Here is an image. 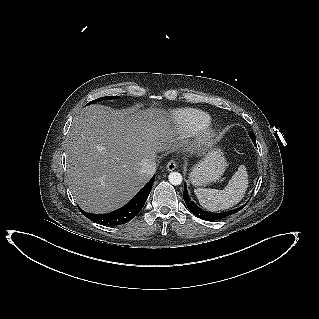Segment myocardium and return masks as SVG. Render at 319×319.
<instances>
[{"instance_id":"1","label":"myocardium","mask_w":319,"mask_h":319,"mask_svg":"<svg viewBox=\"0 0 319 319\" xmlns=\"http://www.w3.org/2000/svg\"><path fill=\"white\" fill-rule=\"evenodd\" d=\"M216 132L211 127L207 126L204 129L200 130L196 138V146L204 147L207 146L215 136Z\"/></svg>"}]
</instances>
